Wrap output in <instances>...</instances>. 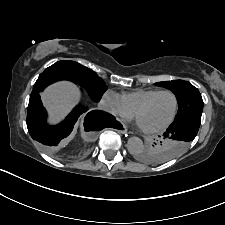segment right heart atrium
I'll use <instances>...</instances> for the list:
<instances>
[{
	"label": "right heart atrium",
	"instance_id": "1",
	"mask_svg": "<svg viewBox=\"0 0 225 225\" xmlns=\"http://www.w3.org/2000/svg\"><path fill=\"white\" fill-rule=\"evenodd\" d=\"M103 102L105 109L115 116L128 118L133 114L126 107L122 97L112 90H108L103 94Z\"/></svg>",
	"mask_w": 225,
	"mask_h": 225
}]
</instances>
